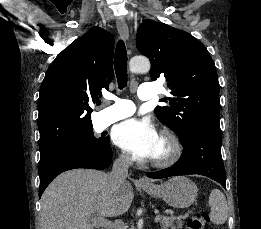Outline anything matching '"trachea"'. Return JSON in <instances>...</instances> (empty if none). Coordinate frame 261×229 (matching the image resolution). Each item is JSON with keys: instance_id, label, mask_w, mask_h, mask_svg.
<instances>
[{"instance_id": "1", "label": "trachea", "mask_w": 261, "mask_h": 229, "mask_svg": "<svg viewBox=\"0 0 261 229\" xmlns=\"http://www.w3.org/2000/svg\"><path fill=\"white\" fill-rule=\"evenodd\" d=\"M127 51L123 40H119L115 51V73L119 89H123L127 86L128 73H127ZM100 100L97 101V105H100Z\"/></svg>"}]
</instances>
